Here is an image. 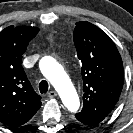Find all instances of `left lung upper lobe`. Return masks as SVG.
Masks as SVG:
<instances>
[{
  "mask_svg": "<svg viewBox=\"0 0 133 133\" xmlns=\"http://www.w3.org/2000/svg\"><path fill=\"white\" fill-rule=\"evenodd\" d=\"M73 38L82 62L80 113L103 120L114 109L123 87L121 56L110 37L89 22L76 23Z\"/></svg>",
  "mask_w": 133,
  "mask_h": 133,
  "instance_id": "obj_1",
  "label": "left lung upper lobe"
}]
</instances>
